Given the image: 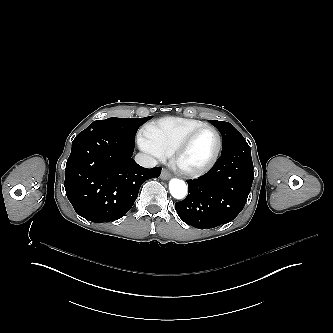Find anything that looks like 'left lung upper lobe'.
Here are the masks:
<instances>
[{"label": "left lung upper lobe", "mask_w": 333, "mask_h": 333, "mask_svg": "<svg viewBox=\"0 0 333 333\" xmlns=\"http://www.w3.org/2000/svg\"><path fill=\"white\" fill-rule=\"evenodd\" d=\"M222 135V152L229 150L230 148L247 143L244 137L228 122L210 120Z\"/></svg>", "instance_id": "1"}]
</instances>
